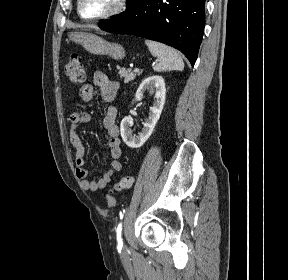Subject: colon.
Returning a JSON list of instances; mask_svg holds the SVG:
<instances>
[{"instance_id": "obj_1", "label": "colon", "mask_w": 288, "mask_h": 280, "mask_svg": "<svg viewBox=\"0 0 288 280\" xmlns=\"http://www.w3.org/2000/svg\"><path fill=\"white\" fill-rule=\"evenodd\" d=\"M66 74L73 83H83L87 79L85 68L76 54H73L66 65ZM133 184L132 176L123 177L118 183L113 185L105 195L106 204L109 208H113L116 204L114 193L128 189Z\"/></svg>"}]
</instances>
